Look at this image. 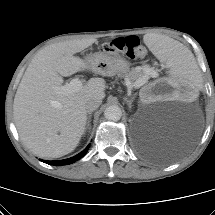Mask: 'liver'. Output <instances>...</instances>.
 <instances>
[{"mask_svg": "<svg viewBox=\"0 0 215 215\" xmlns=\"http://www.w3.org/2000/svg\"><path fill=\"white\" fill-rule=\"evenodd\" d=\"M97 40L82 38L53 43L39 50L28 65L14 98L13 115L26 148L41 158H59L79 144L87 124L86 102L105 98V81L91 78L77 92L58 93L63 77L89 70L76 53Z\"/></svg>", "mask_w": 215, "mask_h": 215, "instance_id": "1", "label": "liver"}]
</instances>
